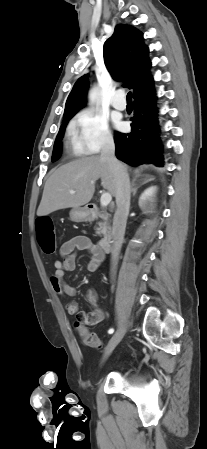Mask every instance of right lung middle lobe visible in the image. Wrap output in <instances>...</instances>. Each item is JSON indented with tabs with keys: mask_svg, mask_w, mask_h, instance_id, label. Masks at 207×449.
<instances>
[{
	"mask_svg": "<svg viewBox=\"0 0 207 449\" xmlns=\"http://www.w3.org/2000/svg\"><path fill=\"white\" fill-rule=\"evenodd\" d=\"M70 119H71V117L63 120V123H62V125L60 127V130L58 132V135L56 137V140H55V143H54V148H53V154H52V161L53 162L58 160L59 157H60V154H61V140H62V137L64 135V131H65L66 125L68 123V120H70Z\"/></svg>",
	"mask_w": 207,
	"mask_h": 449,
	"instance_id": "right-lung-middle-lobe-1",
	"label": "right lung middle lobe"
}]
</instances>
